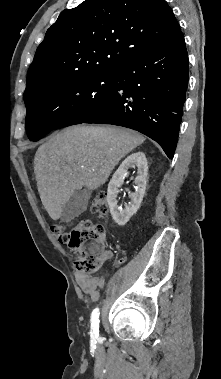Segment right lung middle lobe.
Segmentation results:
<instances>
[{"mask_svg": "<svg viewBox=\"0 0 221 379\" xmlns=\"http://www.w3.org/2000/svg\"><path fill=\"white\" fill-rule=\"evenodd\" d=\"M118 69L82 75L55 85L26 102V130L31 141L86 119L108 102Z\"/></svg>", "mask_w": 221, "mask_h": 379, "instance_id": "dd1d6c3e", "label": "right lung middle lobe"}]
</instances>
